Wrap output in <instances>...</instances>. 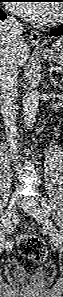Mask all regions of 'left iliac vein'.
Instances as JSON below:
<instances>
[{"instance_id":"1","label":"left iliac vein","mask_w":63,"mask_h":297,"mask_svg":"<svg viewBox=\"0 0 63 297\" xmlns=\"http://www.w3.org/2000/svg\"><path fill=\"white\" fill-rule=\"evenodd\" d=\"M25 212H27L29 215H31L33 218H35L39 222H43L49 236L53 242V244L57 247L60 248L62 244V240L60 237V234L53 224V222L48 218L44 210L38 206V205H32L30 207H25L24 208Z\"/></svg>"}]
</instances>
